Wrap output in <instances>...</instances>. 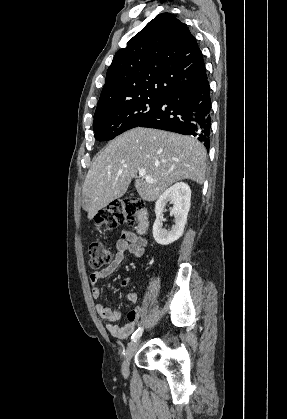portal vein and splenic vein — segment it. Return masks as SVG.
I'll use <instances>...</instances> for the list:
<instances>
[{
	"mask_svg": "<svg viewBox=\"0 0 287 419\" xmlns=\"http://www.w3.org/2000/svg\"><path fill=\"white\" fill-rule=\"evenodd\" d=\"M139 176L142 177V178H145V180L147 182H153L154 181L150 176H147L146 175V171L143 170V169L142 170H139Z\"/></svg>",
	"mask_w": 287,
	"mask_h": 419,
	"instance_id": "portal-vein-and-splenic-vein-1",
	"label": "portal vein and splenic vein"
}]
</instances>
